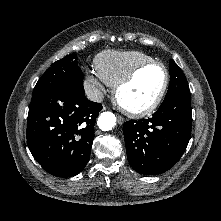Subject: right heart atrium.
Segmentation results:
<instances>
[{"label": "right heart atrium", "instance_id": "d8ad5b80", "mask_svg": "<svg viewBox=\"0 0 221 221\" xmlns=\"http://www.w3.org/2000/svg\"><path fill=\"white\" fill-rule=\"evenodd\" d=\"M102 79L94 73H89L84 79V90L88 97L94 99L97 98L102 89Z\"/></svg>", "mask_w": 221, "mask_h": 221}]
</instances>
